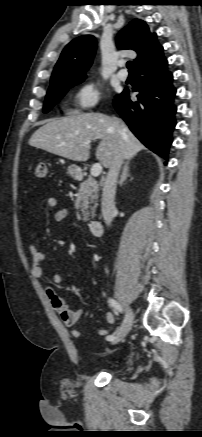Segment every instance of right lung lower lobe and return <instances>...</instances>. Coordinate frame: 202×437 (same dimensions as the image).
I'll return each instance as SVG.
<instances>
[{"label": "right lung lower lobe", "instance_id": "obj_1", "mask_svg": "<svg viewBox=\"0 0 202 437\" xmlns=\"http://www.w3.org/2000/svg\"><path fill=\"white\" fill-rule=\"evenodd\" d=\"M162 54L154 61L136 68L137 101H131L125 89L113 105L135 136L150 150L168 160L172 132L176 125L174 104L176 89L173 75Z\"/></svg>", "mask_w": 202, "mask_h": 437}]
</instances>
